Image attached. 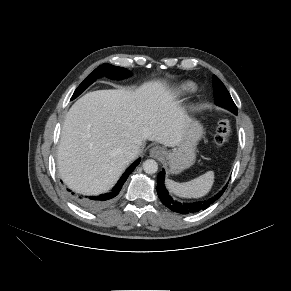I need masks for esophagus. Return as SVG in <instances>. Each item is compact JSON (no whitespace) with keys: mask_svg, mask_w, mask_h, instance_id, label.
Here are the masks:
<instances>
[{"mask_svg":"<svg viewBox=\"0 0 291 291\" xmlns=\"http://www.w3.org/2000/svg\"><path fill=\"white\" fill-rule=\"evenodd\" d=\"M163 154V149L159 146H154L150 149V156L154 158L161 157Z\"/></svg>","mask_w":291,"mask_h":291,"instance_id":"1","label":"esophagus"}]
</instances>
